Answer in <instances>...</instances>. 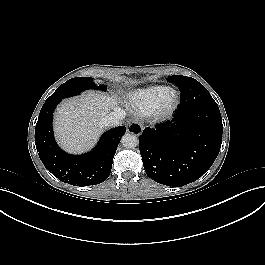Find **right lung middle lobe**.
Here are the masks:
<instances>
[{
  "label": "right lung middle lobe",
  "mask_w": 265,
  "mask_h": 265,
  "mask_svg": "<svg viewBox=\"0 0 265 265\" xmlns=\"http://www.w3.org/2000/svg\"><path fill=\"white\" fill-rule=\"evenodd\" d=\"M86 89L106 90V85H95L93 78L76 77L63 83L57 90L46 100V102L61 101L64 98L78 95Z\"/></svg>",
  "instance_id": "obj_1"
}]
</instances>
